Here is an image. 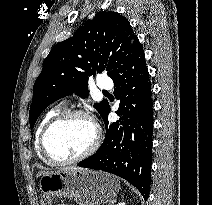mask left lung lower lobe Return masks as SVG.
<instances>
[{
    "instance_id": "obj_1",
    "label": "left lung lower lobe",
    "mask_w": 212,
    "mask_h": 205,
    "mask_svg": "<svg viewBox=\"0 0 212 205\" xmlns=\"http://www.w3.org/2000/svg\"><path fill=\"white\" fill-rule=\"evenodd\" d=\"M116 112L120 119L108 122L110 107L102 118L106 137L91 157L77 165L120 176L134 185L147 200L150 190L152 163L153 102L151 83L142 45L136 38L112 77Z\"/></svg>"
}]
</instances>
